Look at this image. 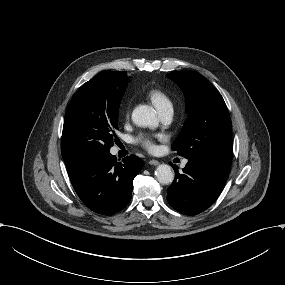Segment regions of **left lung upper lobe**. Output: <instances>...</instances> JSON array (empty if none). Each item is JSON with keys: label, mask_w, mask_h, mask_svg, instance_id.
I'll use <instances>...</instances> for the list:
<instances>
[{"label": "left lung upper lobe", "mask_w": 285, "mask_h": 285, "mask_svg": "<svg viewBox=\"0 0 285 285\" xmlns=\"http://www.w3.org/2000/svg\"><path fill=\"white\" fill-rule=\"evenodd\" d=\"M185 95L186 119L173 143V150L187 159L232 162V124L221 94L195 71H173L166 75Z\"/></svg>", "instance_id": "left-lung-upper-lobe-1"}]
</instances>
